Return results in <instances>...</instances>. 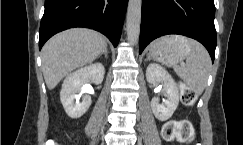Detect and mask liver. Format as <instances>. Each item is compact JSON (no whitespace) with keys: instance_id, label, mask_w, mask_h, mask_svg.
I'll return each mask as SVG.
<instances>
[{"instance_id":"obj_1","label":"liver","mask_w":243,"mask_h":145,"mask_svg":"<svg viewBox=\"0 0 243 145\" xmlns=\"http://www.w3.org/2000/svg\"><path fill=\"white\" fill-rule=\"evenodd\" d=\"M106 46L100 33L83 28L69 29L49 39L41 52L48 89H54L69 72L93 62Z\"/></svg>"}]
</instances>
